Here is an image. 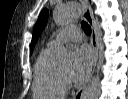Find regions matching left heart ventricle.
<instances>
[{
    "mask_svg": "<svg viewBox=\"0 0 128 99\" xmlns=\"http://www.w3.org/2000/svg\"><path fill=\"white\" fill-rule=\"evenodd\" d=\"M61 70H62L64 73L68 74V73H69V70H70V67H69V66H65V67L61 68Z\"/></svg>",
    "mask_w": 128,
    "mask_h": 99,
    "instance_id": "obj_1",
    "label": "left heart ventricle"
}]
</instances>
